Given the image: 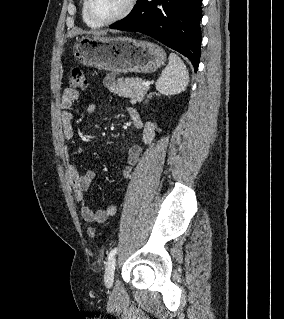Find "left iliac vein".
Listing matches in <instances>:
<instances>
[{
	"mask_svg": "<svg viewBox=\"0 0 284 319\" xmlns=\"http://www.w3.org/2000/svg\"><path fill=\"white\" fill-rule=\"evenodd\" d=\"M115 266H116V259L112 258L108 261L105 268L104 281H105L106 287L108 288H110L113 285Z\"/></svg>",
	"mask_w": 284,
	"mask_h": 319,
	"instance_id": "4c4485c4",
	"label": "left iliac vein"
}]
</instances>
